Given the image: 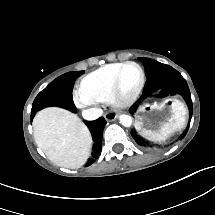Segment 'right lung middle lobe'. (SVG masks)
I'll return each mask as SVG.
<instances>
[{
    "label": "right lung middle lobe",
    "mask_w": 215,
    "mask_h": 215,
    "mask_svg": "<svg viewBox=\"0 0 215 215\" xmlns=\"http://www.w3.org/2000/svg\"><path fill=\"white\" fill-rule=\"evenodd\" d=\"M82 73L83 71L69 72L52 81L35 98L32 105L31 117L33 118L37 111L47 106H61L75 111L76 107L72 99V88L75 79Z\"/></svg>",
    "instance_id": "dd1d6c3e"
}]
</instances>
